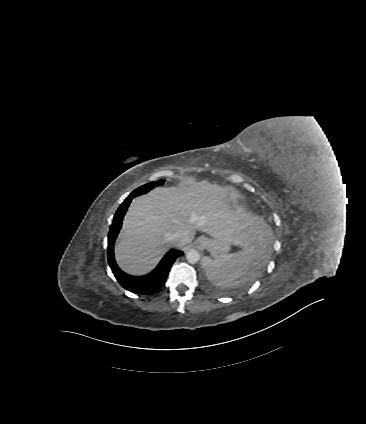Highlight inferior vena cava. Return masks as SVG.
I'll list each match as a JSON object with an SVG mask.
<instances>
[{"label": "inferior vena cava", "instance_id": "inferior-vena-cava-1", "mask_svg": "<svg viewBox=\"0 0 366 424\" xmlns=\"http://www.w3.org/2000/svg\"><path fill=\"white\" fill-rule=\"evenodd\" d=\"M170 242L174 246H179L190 241V236L187 231L179 230L177 232L171 233L169 237Z\"/></svg>", "mask_w": 366, "mask_h": 424}]
</instances>
